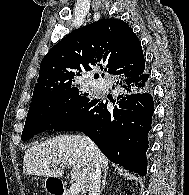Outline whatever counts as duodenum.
Instances as JSON below:
<instances>
[{"label":"duodenum","mask_w":189,"mask_h":195,"mask_svg":"<svg viewBox=\"0 0 189 195\" xmlns=\"http://www.w3.org/2000/svg\"><path fill=\"white\" fill-rule=\"evenodd\" d=\"M51 195H66V190L59 180H55L50 187Z\"/></svg>","instance_id":"1"}]
</instances>
